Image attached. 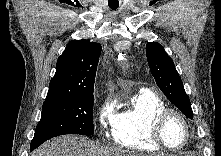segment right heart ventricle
<instances>
[{"label": "right heart ventricle", "mask_w": 221, "mask_h": 156, "mask_svg": "<svg viewBox=\"0 0 221 156\" xmlns=\"http://www.w3.org/2000/svg\"><path fill=\"white\" fill-rule=\"evenodd\" d=\"M165 108L166 103L156 93L140 90L130 99L128 106L116 114L113 141L131 150L159 152L161 148L151 138V125L155 116Z\"/></svg>", "instance_id": "obj_1"}]
</instances>
